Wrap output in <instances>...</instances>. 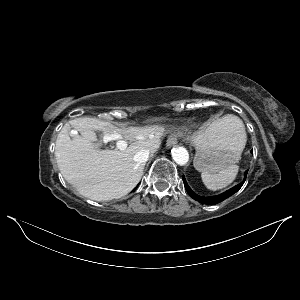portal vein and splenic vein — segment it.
Wrapping results in <instances>:
<instances>
[{"mask_svg":"<svg viewBox=\"0 0 300 300\" xmlns=\"http://www.w3.org/2000/svg\"><path fill=\"white\" fill-rule=\"evenodd\" d=\"M120 139H121V136L118 134H113L109 137V140H118L116 143L117 148L120 150H124L127 147V142L124 140H120Z\"/></svg>","mask_w":300,"mask_h":300,"instance_id":"18ae733b","label":"portal vein and splenic vein"}]
</instances>
